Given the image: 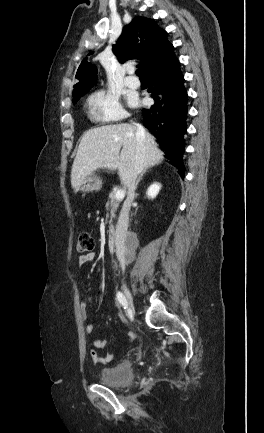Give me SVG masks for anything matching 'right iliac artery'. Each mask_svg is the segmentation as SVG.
Masks as SVG:
<instances>
[{"instance_id":"82829eb1","label":"right iliac artery","mask_w":264,"mask_h":433,"mask_svg":"<svg viewBox=\"0 0 264 433\" xmlns=\"http://www.w3.org/2000/svg\"><path fill=\"white\" fill-rule=\"evenodd\" d=\"M116 297H117V300L119 301V303L123 306V308L127 309L128 308V304H127L125 296L121 292H118L116 294Z\"/></svg>"}]
</instances>
